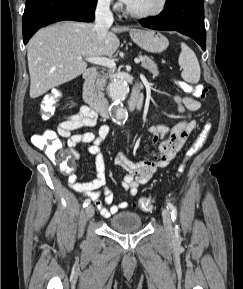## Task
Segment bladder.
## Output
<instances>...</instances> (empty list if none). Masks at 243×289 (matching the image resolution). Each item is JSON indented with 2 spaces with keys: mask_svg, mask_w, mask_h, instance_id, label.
<instances>
[{
  "mask_svg": "<svg viewBox=\"0 0 243 289\" xmlns=\"http://www.w3.org/2000/svg\"><path fill=\"white\" fill-rule=\"evenodd\" d=\"M109 225L119 232L134 231L142 227V219L135 212L123 211L113 215L109 220Z\"/></svg>",
  "mask_w": 243,
  "mask_h": 289,
  "instance_id": "bladder-1",
  "label": "bladder"
}]
</instances>
